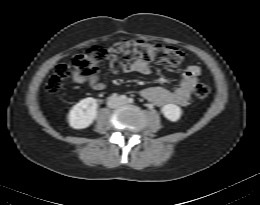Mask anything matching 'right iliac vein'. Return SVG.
I'll return each mask as SVG.
<instances>
[{
	"instance_id": "1",
	"label": "right iliac vein",
	"mask_w": 260,
	"mask_h": 205,
	"mask_svg": "<svg viewBox=\"0 0 260 205\" xmlns=\"http://www.w3.org/2000/svg\"><path fill=\"white\" fill-rule=\"evenodd\" d=\"M112 102H113L114 104H117V103H118V100H117V99H113Z\"/></svg>"
}]
</instances>
